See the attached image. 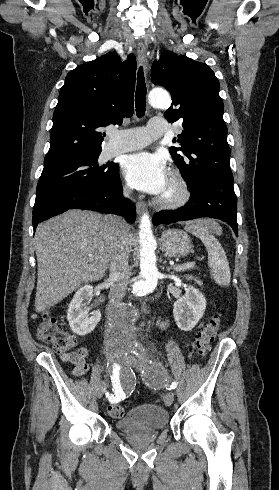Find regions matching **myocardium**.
Here are the masks:
<instances>
[{
    "label": "myocardium",
    "instance_id": "f54148a6",
    "mask_svg": "<svg viewBox=\"0 0 279 490\" xmlns=\"http://www.w3.org/2000/svg\"><path fill=\"white\" fill-rule=\"evenodd\" d=\"M170 186L174 190V195L162 196L158 200V206L165 210H176L190 200L191 192L188 183L176 169L171 171Z\"/></svg>",
    "mask_w": 279,
    "mask_h": 490
}]
</instances>
